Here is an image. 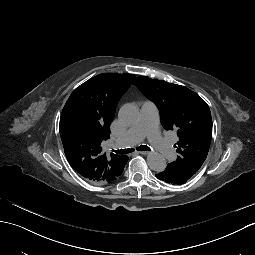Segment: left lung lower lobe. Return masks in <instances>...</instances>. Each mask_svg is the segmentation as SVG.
I'll use <instances>...</instances> for the list:
<instances>
[{"label": "left lung lower lobe", "instance_id": "left-lung-lower-lobe-1", "mask_svg": "<svg viewBox=\"0 0 255 255\" xmlns=\"http://www.w3.org/2000/svg\"><path fill=\"white\" fill-rule=\"evenodd\" d=\"M173 174V175H172ZM155 177L159 180L165 183L166 185H180V183H184L186 181V178L183 176H178L176 172L171 167L163 168V172H157L155 174Z\"/></svg>", "mask_w": 255, "mask_h": 255}]
</instances>
